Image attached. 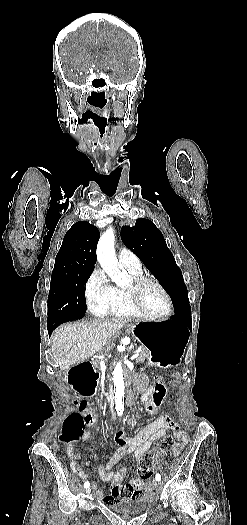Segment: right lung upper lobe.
Segmentation results:
<instances>
[{
  "mask_svg": "<svg viewBox=\"0 0 247 525\" xmlns=\"http://www.w3.org/2000/svg\"><path fill=\"white\" fill-rule=\"evenodd\" d=\"M99 236L89 222L75 223L64 236L53 271H93Z\"/></svg>",
  "mask_w": 247,
  "mask_h": 525,
  "instance_id": "obj_1",
  "label": "right lung upper lobe"
}]
</instances>
